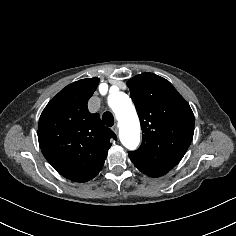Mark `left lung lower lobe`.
Returning a JSON list of instances; mask_svg holds the SVG:
<instances>
[{
  "mask_svg": "<svg viewBox=\"0 0 236 236\" xmlns=\"http://www.w3.org/2000/svg\"><path fill=\"white\" fill-rule=\"evenodd\" d=\"M142 173L146 174L147 176L150 177H160L166 174L167 172L164 171H158L154 169H139Z\"/></svg>",
  "mask_w": 236,
  "mask_h": 236,
  "instance_id": "1",
  "label": "left lung lower lobe"
}]
</instances>
